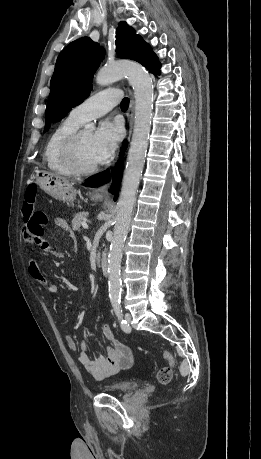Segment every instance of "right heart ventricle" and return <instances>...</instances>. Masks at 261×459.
Wrapping results in <instances>:
<instances>
[{"instance_id": "right-heart-ventricle-1", "label": "right heart ventricle", "mask_w": 261, "mask_h": 459, "mask_svg": "<svg viewBox=\"0 0 261 459\" xmlns=\"http://www.w3.org/2000/svg\"><path fill=\"white\" fill-rule=\"evenodd\" d=\"M81 125L82 123L68 116L51 131L44 148V160L50 170L65 176L74 175L73 171L63 160L62 149L65 141L75 133Z\"/></svg>"}]
</instances>
